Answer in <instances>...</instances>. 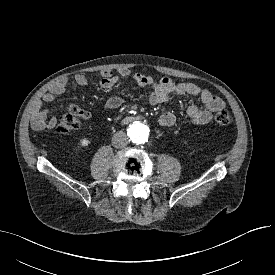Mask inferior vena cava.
I'll return each instance as SVG.
<instances>
[{"label": "inferior vena cava", "mask_w": 275, "mask_h": 275, "mask_svg": "<svg viewBox=\"0 0 275 275\" xmlns=\"http://www.w3.org/2000/svg\"><path fill=\"white\" fill-rule=\"evenodd\" d=\"M128 144V137L124 132H117L112 137V145L115 148H123Z\"/></svg>", "instance_id": "1"}]
</instances>
